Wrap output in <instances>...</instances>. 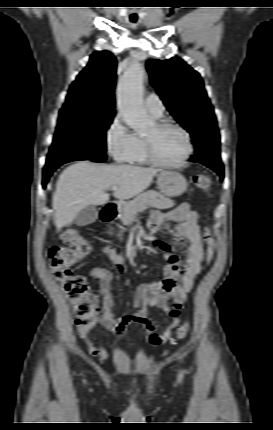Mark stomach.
<instances>
[{"mask_svg": "<svg viewBox=\"0 0 273 430\" xmlns=\"http://www.w3.org/2000/svg\"><path fill=\"white\" fill-rule=\"evenodd\" d=\"M157 185L161 193L167 197L182 195L187 189V182L183 175L176 171H161L157 175Z\"/></svg>", "mask_w": 273, "mask_h": 430, "instance_id": "stomach-1", "label": "stomach"}]
</instances>
